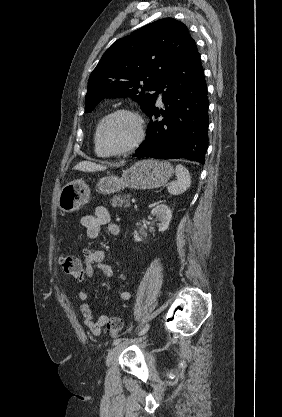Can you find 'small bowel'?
I'll list each match as a JSON object with an SVG mask.
<instances>
[{"label": "small bowel", "mask_w": 282, "mask_h": 417, "mask_svg": "<svg viewBox=\"0 0 282 417\" xmlns=\"http://www.w3.org/2000/svg\"><path fill=\"white\" fill-rule=\"evenodd\" d=\"M79 224L86 229L88 238H98L103 229L111 236H119L121 233V227L119 224L111 220L109 211L104 206H97L92 214H83L79 217ZM83 254V266L80 269L81 278L80 282H86L91 279L96 271L100 272L102 277L106 280H110L114 276L112 268L105 264L106 252L102 248L89 249L84 248ZM78 299L83 302L81 305V313L83 316V324L87 327L94 336H99L104 332L103 320L104 318H118L111 317L103 314L95 319L94 314L90 306L86 303L89 298V290L86 287L79 289L77 293ZM132 292L129 289H122L119 292V299L123 302H127L131 299Z\"/></svg>", "instance_id": "c3829d8e"}]
</instances>
